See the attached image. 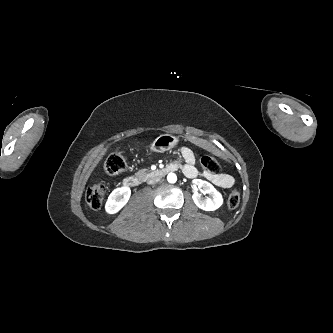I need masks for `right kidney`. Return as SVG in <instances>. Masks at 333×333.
<instances>
[{"instance_id": "ca27d5eb", "label": "right kidney", "mask_w": 333, "mask_h": 333, "mask_svg": "<svg viewBox=\"0 0 333 333\" xmlns=\"http://www.w3.org/2000/svg\"><path fill=\"white\" fill-rule=\"evenodd\" d=\"M131 195L129 187L123 186L112 191L105 205L106 212L109 214L117 213L126 205Z\"/></svg>"}]
</instances>
